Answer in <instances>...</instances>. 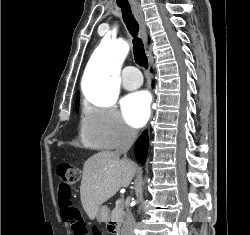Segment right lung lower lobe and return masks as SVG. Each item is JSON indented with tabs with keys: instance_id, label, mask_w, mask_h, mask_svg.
<instances>
[{
	"instance_id": "obj_1",
	"label": "right lung lower lobe",
	"mask_w": 250,
	"mask_h": 235,
	"mask_svg": "<svg viewBox=\"0 0 250 235\" xmlns=\"http://www.w3.org/2000/svg\"><path fill=\"white\" fill-rule=\"evenodd\" d=\"M148 145H149L148 133L147 131H144L135 144V155L137 160L141 164L145 163Z\"/></svg>"
}]
</instances>
